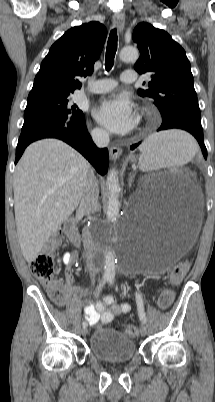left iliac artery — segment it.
<instances>
[{
  "label": "left iliac artery",
  "mask_w": 215,
  "mask_h": 402,
  "mask_svg": "<svg viewBox=\"0 0 215 402\" xmlns=\"http://www.w3.org/2000/svg\"><path fill=\"white\" fill-rule=\"evenodd\" d=\"M108 280H109L110 284L114 283L113 278H109ZM135 296H136V303H137L139 318H140L141 322L145 324L147 319H146V315H145V311H144L143 299L138 292L135 293Z\"/></svg>",
  "instance_id": "1"
}]
</instances>
